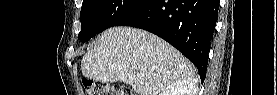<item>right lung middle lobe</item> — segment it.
<instances>
[{"mask_svg":"<svg viewBox=\"0 0 277 95\" xmlns=\"http://www.w3.org/2000/svg\"><path fill=\"white\" fill-rule=\"evenodd\" d=\"M143 0H83L80 21L82 29L78 39L82 42L116 26Z\"/></svg>","mask_w":277,"mask_h":95,"instance_id":"1","label":"right lung middle lobe"}]
</instances>
